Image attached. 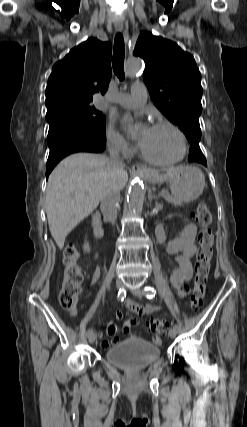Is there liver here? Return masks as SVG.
<instances>
[{"label":"liver","instance_id":"obj_1","mask_svg":"<svg viewBox=\"0 0 247 427\" xmlns=\"http://www.w3.org/2000/svg\"><path fill=\"white\" fill-rule=\"evenodd\" d=\"M128 180L124 167L104 155L75 153L63 159L49 176L46 213L59 249L67 235L98 206L111 189L122 190Z\"/></svg>","mask_w":247,"mask_h":427}]
</instances>
